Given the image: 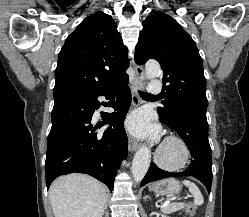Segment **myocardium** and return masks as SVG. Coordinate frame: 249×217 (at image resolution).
<instances>
[{
  "label": "myocardium",
  "mask_w": 249,
  "mask_h": 217,
  "mask_svg": "<svg viewBox=\"0 0 249 217\" xmlns=\"http://www.w3.org/2000/svg\"><path fill=\"white\" fill-rule=\"evenodd\" d=\"M168 147L176 150L174 157L166 156ZM190 159V150L183 138L178 135H170L164 139L160 147L155 153V161L160 167L170 171H176L183 168Z\"/></svg>",
  "instance_id": "myocardium-1"
}]
</instances>
